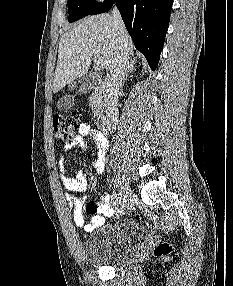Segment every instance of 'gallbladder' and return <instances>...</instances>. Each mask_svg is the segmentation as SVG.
Returning a JSON list of instances; mask_svg holds the SVG:
<instances>
[{
  "label": "gallbladder",
  "mask_w": 233,
  "mask_h": 286,
  "mask_svg": "<svg viewBox=\"0 0 233 286\" xmlns=\"http://www.w3.org/2000/svg\"><path fill=\"white\" fill-rule=\"evenodd\" d=\"M97 83V78L93 73H86L78 79V92L76 94L86 93ZM74 105V96L65 94L57 102V107L61 110H68Z\"/></svg>",
  "instance_id": "bac80fb5"
}]
</instances>
